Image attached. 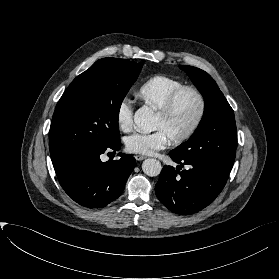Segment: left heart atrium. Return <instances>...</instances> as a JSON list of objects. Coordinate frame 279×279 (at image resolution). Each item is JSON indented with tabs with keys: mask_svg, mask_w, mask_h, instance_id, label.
<instances>
[{
	"mask_svg": "<svg viewBox=\"0 0 279 279\" xmlns=\"http://www.w3.org/2000/svg\"><path fill=\"white\" fill-rule=\"evenodd\" d=\"M169 139L162 130L151 133L137 132L125 139L126 149L130 153L152 155L166 147Z\"/></svg>",
	"mask_w": 279,
	"mask_h": 279,
	"instance_id": "left-heart-atrium-1",
	"label": "left heart atrium"
}]
</instances>
